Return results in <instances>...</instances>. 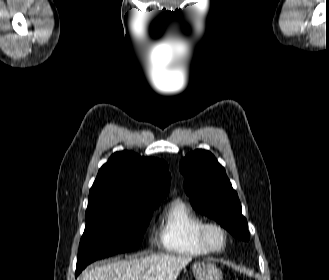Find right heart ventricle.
Segmentation results:
<instances>
[{"label":"right heart ventricle","instance_id":"e07e8e85","mask_svg":"<svg viewBox=\"0 0 329 280\" xmlns=\"http://www.w3.org/2000/svg\"><path fill=\"white\" fill-rule=\"evenodd\" d=\"M205 219L185 200L176 198L167 206L159 234L161 247L168 253L199 257L210 252L200 243L198 232Z\"/></svg>","mask_w":329,"mask_h":280}]
</instances>
